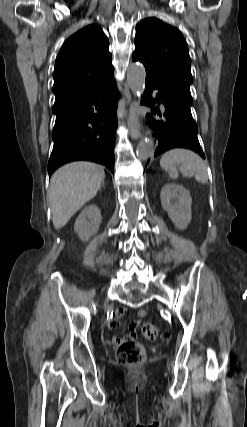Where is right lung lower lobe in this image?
<instances>
[{
	"label": "right lung lower lobe",
	"mask_w": 247,
	"mask_h": 427,
	"mask_svg": "<svg viewBox=\"0 0 247 427\" xmlns=\"http://www.w3.org/2000/svg\"><path fill=\"white\" fill-rule=\"evenodd\" d=\"M118 97L112 80L90 93L55 102L49 177L61 165L76 160L100 163L113 172Z\"/></svg>",
	"instance_id": "1"
}]
</instances>
